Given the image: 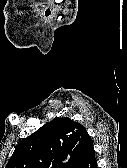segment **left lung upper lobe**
<instances>
[{
	"label": "left lung upper lobe",
	"mask_w": 127,
	"mask_h": 168,
	"mask_svg": "<svg viewBox=\"0 0 127 168\" xmlns=\"http://www.w3.org/2000/svg\"><path fill=\"white\" fill-rule=\"evenodd\" d=\"M88 138L80 123L55 118L16 146L6 168H75Z\"/></svg>",
	"instance_id": "5c2ea615"
}]
</instances>
